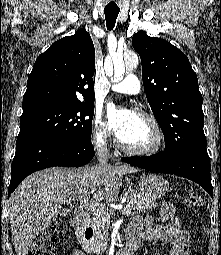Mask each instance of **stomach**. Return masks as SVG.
<instances>
[{
	"mask_svg": "<svg viewBox=\"0 0 221 255\" xmlns=\"http://www.w3.org/2000/svg\"><path fill=\"white\" fill-rule=\"evenodd\" d=\"M139 188L146 198L156 200L169 191V184L159 175L144 174L139 180Z\"/></svg>",
	"mask_w": 221,
	"mask_h": 255,
	"instance_id": "0dacf381",
	"label": "stomach"
}]
</instances>
